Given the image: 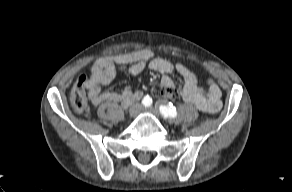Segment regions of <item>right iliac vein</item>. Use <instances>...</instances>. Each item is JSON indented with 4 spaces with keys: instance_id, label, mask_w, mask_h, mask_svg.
<instances>
[{
    "instance_id": "obj_1",
    "label": "right iliac vein",
    "mask_w": 292,
    "mask_h": 192,
    "mask_svg": "<svg viewBox=\"0 0 292 192\" xmlns=\"http://www.w3.org/2000/svg\"><path fill=\"white\" fill-rule=\"evenodd\" d=\"M140 111H141V105L139 103H134L131 105V107L129 109V116L131 118H133V117L137 116Z\"/></svg>"
}]
</instances>
